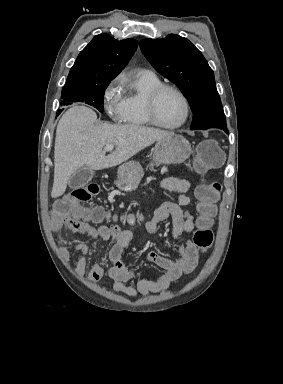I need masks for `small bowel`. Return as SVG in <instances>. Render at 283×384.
<instances>
[{"label": "small bowel", "instance_id": "small-bowel-1", "mask_svg": "<svg viewBox=\"0 0 283 384\" xmlns=\"http://www.w3.org/2000/svg\"><path fill=\"white\" fill-rule=\"evenodd\" d=\"M162 187L169 192L178 193V201L162 203L155 209L152 218L145 227L147 232L152 234L157 230L160 222L170 217L172 219V237L179 240L194 229V216L189 209L191 199L187 195L190 183L184 178L167 177L162 181ZM49 225L53 232L68 230L86 234L95 239L113 240L114 245L109 252L111 266L108 270L110 279L108 284L112 286L114 291L129 297L146 296L165 290L171 284L176 283L181 276L192 273L198 264V248L193 242L185 240L179 244L178 257L174 259L165 257L156 251H150L146 256L147 261L155 264L164 272L153 277H143L140 273L130 270L123 260V253L133 237L132 231L123 230L117 224L92 225L73 219L68 215H60L55 208L50 213ZM72 253L80 254L76 264V272L83 275L88 266L89 248L83 243H76L64 246L59 251L64 261H68ZM103 274V265L96 263L91 267L87 279L90 282H97Z\"/></svg>", "mask_w": 283, "mask_h": 384}]
</instances>
